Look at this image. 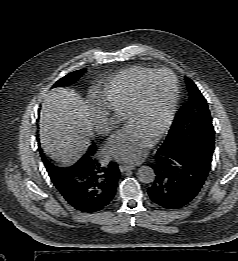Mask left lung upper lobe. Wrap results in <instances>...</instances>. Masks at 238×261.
<instances>
[{"mask_svg":"<svg viewBox=\"0 0 238 261\" xmlns=\"http://www.w3.org/2000/svg\"><path fill=\"white\" fill-rule=\"evenodd\" d=\"M187 85L188 102L176 114L166 140L161 146L163 148L190 141L204 129L214 130L206 99L191 79L187 80Z\"/></svg>","mask_w":238,"mask_h":261,"instance_id":"5c2ea615","label":"left lung upper lobe"}]
</instances>
